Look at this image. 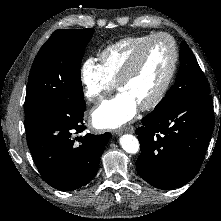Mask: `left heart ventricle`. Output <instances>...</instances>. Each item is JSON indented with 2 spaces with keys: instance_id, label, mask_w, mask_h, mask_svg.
I'll return each instance as SVG.
<instances>
[{
  "instance_id": "b2bd125f",
  "label": "left heart ventricle",
  "mask_w": 221,
  "mask_h": 221,
  "mask_svg": "<svg viewBox=\"0 0 221 221\" xmlns=\"http://www.w3.org/2000/svg\"><path fill=\"white\" fill-rule=\"evenodd\" d=\"M172 62V46L168 39L153 41L144 51L141 65L135 75L122 85L120 92L127 94L140 107L148 102L163 84Z\"/></svg>"
}]
</instances>
